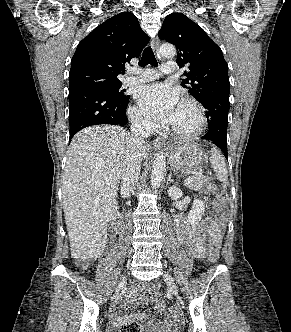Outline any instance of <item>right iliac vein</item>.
<instances>
[{"instance_id": "63e3f726", "label": "right iliac vein", "mask_w": 291, "mask_h": 332, "mask_svg": "<svg viewBox=\"0 0 291 332\" xmlns=\"http://www.w3.org/2000/svg\"><path fill=\"white\" fill-rule=\"evenodd\" d=\"M126 278H127L126 275L123 276L122 279H121L120 282H119V285H118L117 290H116V294H115V296H114V300H115V301L119 298V293H120V291L123 289V287H124L125 284H126Z\"/></svg>"}]
</instances>
